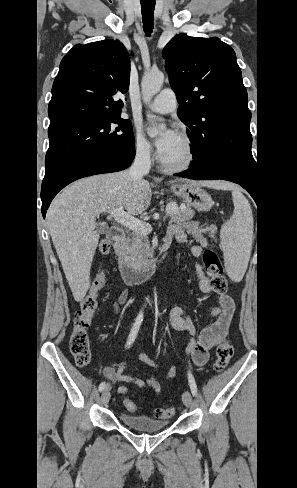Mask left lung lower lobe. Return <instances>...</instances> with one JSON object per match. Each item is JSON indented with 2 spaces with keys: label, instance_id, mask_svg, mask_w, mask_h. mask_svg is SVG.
I'll list each match as a JSON object with an SVG mask.
<instances>
[{
  "label": "left lung lower lobe",
  "instance_id": "0a47b994",
  "mask_svg": "<svg viewBox=\"0 0 297 488\" xmlns=\"http://www.w3.org/2000/svg\"><path fill=\"white\" fill-rule=\"evenodd\" d=\"M175 175L194 180L222 179L231 181L241 185L256 202L258 200V180L255 166L235 159H211L194 166L190 165L188 170Z\"/></svg>",
  "mask_w": 297,
  "mask_h": 488
}]
</instances>
